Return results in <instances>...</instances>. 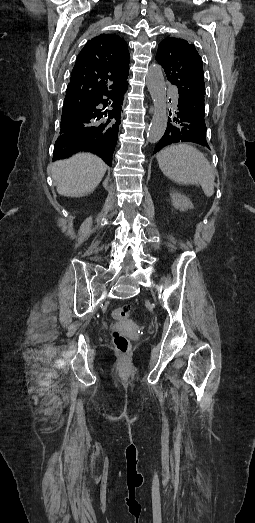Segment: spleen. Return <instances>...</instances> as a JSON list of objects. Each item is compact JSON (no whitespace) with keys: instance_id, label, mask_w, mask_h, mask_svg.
Here are the masks:
<instances>
[{"instance_id":"3e777b00","label":"spleen","mask_w":255,"mask_h":523,"mask_svg":"<svg viewBox=\"0 0 255 523\" xmlns=\"http://www.w3.org/2000/svg\"><path fill=\"white\" fill-rule=\"evenodd\" d=\"M156 160L164 176L177 184H200L205 196L214 194V176L204 154L188 144L169 146L158 152Z\"/></svg>"}]
</instances>
